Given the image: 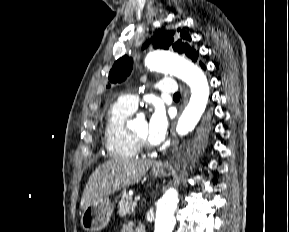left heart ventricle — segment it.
<instances>
[{
    "instance_id": "1",
    "label": "left heart ventricle",
    "mask_w": 289,
    "mask_h": 232,
    "mask_svg": "<svg viewBox=\"0 0 289 232\" xmlns=\"http://www.w3.org/2000/svg\"><path fill=\"white\" fill-rule=\"evenodd\" d=\"M131 132L138 137L147 140V121L143 118L137 119Z\"/></svg>"
}]
</instances>
